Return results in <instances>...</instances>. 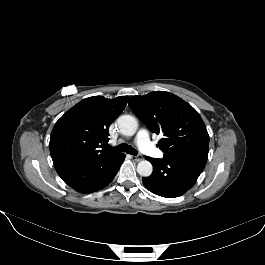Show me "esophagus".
<instances>
[{"instance_id": "esophagus-1", "label": "esophagus", "mask_w": 265, "mask_h": 265, "mask_svg": "<svg viewBox=\"0 0 265 265\" xmlns=\"http://www.w3.org/2000/svg\"><path fill=\"white\" fill-rule=\"evenodd\" d=\"M132 158H133L134 161L142 160V157L140 155H134V156H132Z\"/></svg>"}]
</instances>
